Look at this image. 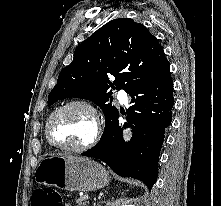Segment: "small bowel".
Returning a JSON list of instances; mask_svg holds the SVG:
<instances>
[{
    "instance_id": "obj_1",
    "label": "small bowel",
    "mask_w": 221,
    "mask_h": 206,
    "mask_svg": "<svg viewBox=\"0 0 221 206\" xmlns=\"http://www.w3.org/2000/svg\"><path fill=\"white\" fill-rule=\"evenodd\" d=\"M64 206H71L70 204H65Z\"/></svg>"
}]
</instances>
